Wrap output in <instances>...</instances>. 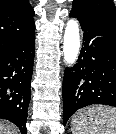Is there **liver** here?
<instances>
[{
	"label": "liver",
	"mask_w": 116,
	"mask_h": 134,
	"mask_svg": "<svg viewBox=\"0 0 116 134\" xmlns=\"http://www.w3.org/2000/svg\"><path fill=\"white\" fill-rule=\"evenodd\" d=\"M17 130L15 126L7 123L0 121V134H16Z\"/></svg>",
	"instance_id": "1"
}]
</instances>
